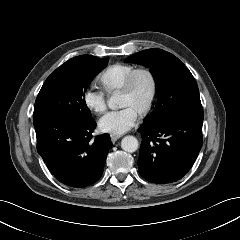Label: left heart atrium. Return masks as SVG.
Segmentation results:
<instances>
[{"instance_id":"39dd6f15","label":"left heart atrium","mask_w":240,"mask_h":240,"mask_svg":"<svg viewBox=\"0 0 240 240\" xmlns=\"http://www.w3.org/2000/svg\"><path fill=\"white\" fill-rule=\"evenodd\" d=\"M138 113L131 107H123L105 113L98 122L102 132L120 135L131 129L137 122Z\"/></svg>"}]
</instances>
